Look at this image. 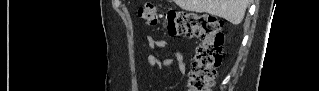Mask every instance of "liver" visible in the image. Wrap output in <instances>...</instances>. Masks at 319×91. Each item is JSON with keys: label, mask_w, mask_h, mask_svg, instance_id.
I'll list each match as a JSON object with an SVG mask.
<instances>
[{"label": "liver", "mask_w": 319, "mask_h": 91, "mask_svg": "<svg viewBox=\"0 0 319 91\" xmlns=\"http://www.w3.org/2000/svg\"><path fill=\"white\" fill-rule=\"evenodd\" d=\"M176 4L186 10L208 13L223 18L230 23L239 24L245 15L249 0H175Z\"/></svg>", "instance_id": "obj_1"}]
</instances>
